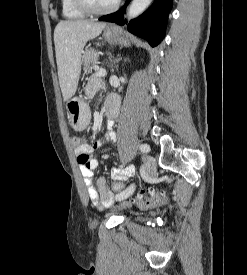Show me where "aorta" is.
Returning a JSON list of instances; mask_svg holds the SVG:
<instances>
[{
  "instance_id": "762f6f07",
  "label": "aorta",
  "mask_w": 247,
  "mask_h": 275,
  "mask_svg": "<svg viewBox=\"0 0 247 275\" xmlns=\"http://www.w3.org/2000/svg\"><path fill=\"white\" fill-rule=\"evenodd\" d=\"M151 2L152 0H132L127 13L128 18L133 19L142 14Z\"/></svg>"
}]
</instances>
